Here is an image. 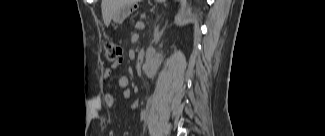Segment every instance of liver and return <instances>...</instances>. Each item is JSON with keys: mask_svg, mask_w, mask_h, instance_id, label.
Here are the masks:
<instances>
[{"mask_svg": "<svg viewBox=\"0 0 325 136\" xmlns=\"http://www.w3.org/2000/svg\"><path fill=\"white\" fill-rule=\"evenodd\" d=\"M135 2V0H102L101 9L104 24L108 27L115 12L123 6Z\"/></svg>", "mask_w": 325, "mask_h": 136, "instance_id": "1", "label": "liver"}]
</instances>
